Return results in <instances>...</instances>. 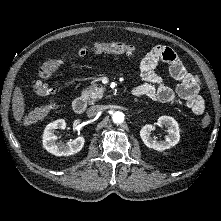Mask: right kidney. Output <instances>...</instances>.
Wrapping results in <instances>:
<instances>
[{"label":"right kidney","instance_id":"ca27d5eb","mask_svg":"<svg viewBox=\"0 0 221 221\" xmlns=\"http://www.w3.org/2000/svg\"><path fill=\"white\" fill-rule=\"evenodd\" d=\"M66 121L58 119L49 123L43 133V147L55 156H70L79 152L85 143L83 136L68 141L66 144L57 142L58 137L55 135L57 129H65Z\"/></svg>","mask_w":221,"mask_h":221}]
</instances>
